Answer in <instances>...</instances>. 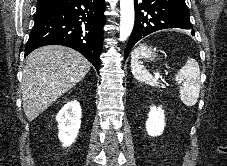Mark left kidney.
Masks as SVG:
<instances>
[{
	"instance_id": "5707ae66",
	"label": "left kidney",
	"mask_w": 227,
	"mask_h": 166,
	"mask_svg": "<svg viewBox=\"0 0 227 166\" xmlns=\"http://www.w3.org/2000/svg\"><path fill=\"white\" fill-rule=\"evenodd\" d=\"M165 127L164 110L161 107L151 106L146 121L148 135L155 137L163 133Z\"/></svg>"
}]
</instances>
